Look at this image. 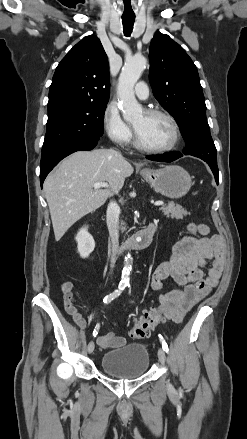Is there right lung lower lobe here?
Instances as JSON below:
<instances>
[{
    "label": "right lung lower lobe",
    "mask_w": 247,
    "mask_h": 439,
    "mask_svg": "<svg viewBox=\"0 0 247 439\" xmlns=\"http://www.w3.org/2000/svg\"><path fill=\"white\" fill-rule=\"evenodd\" d=\"M98 141L82 142L60 148L51 149L42 153L40 163V183L41 186L48 173L66 156L80 150H92Z\"/></svg>",
    "instance_id": "obj_1"
}]
</instances>
